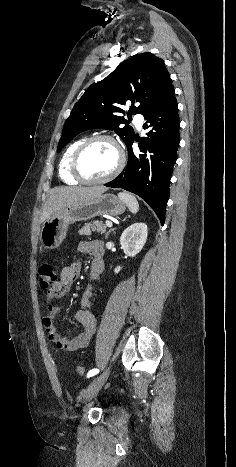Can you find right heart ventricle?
I'll return each mask as SVG.
<instances>
[{
  "label": "right heart ventricle",
  "mask_w": 236,
  "mask_h": 467,
  "mask_svg": "<svg viewBox=\"0 0 236 467\" xmlns=\"http://www.w3.org/2000/svg\"><path fill=\"white\" fill-rule=\"evenodd\" d=\"M84 140L86 139L80 138L72 142L62 154V157L59 162V177L66 184L75 185L79 183V181L76 178H74L70 172V163L73 153Z\"/></svg>",
  "instance_id": "right-heart-ventricle-1"
}]
</instances>
